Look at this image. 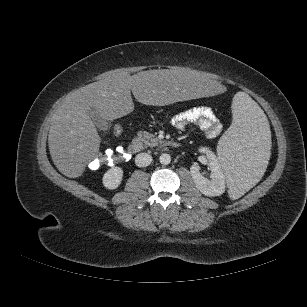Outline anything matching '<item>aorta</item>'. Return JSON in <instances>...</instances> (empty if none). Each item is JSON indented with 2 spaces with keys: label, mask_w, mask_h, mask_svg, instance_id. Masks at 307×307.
<instances>
[{
  "label": "aorta",
  "mask_w": 307,
  "mask_h": 307,
  "mask_svg": "<svg viewBox=\"0 0 307 307\" xmlns=\"http://www.w3.org/2000/svg\"><path fill=\"white\" fill-rule=\"evenodd\" d=\"M159 161L162 165H168L171 162V156L167 153H163L160 155Z\"/></svg>",
  "instance_id": "762f6f07"
}]
</instances>
